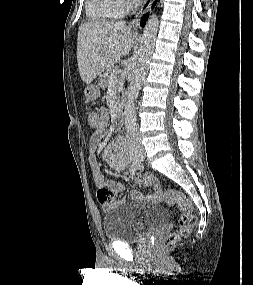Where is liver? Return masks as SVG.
Instances as JSON below:
<instances>
[{"instance_id":"1","label":"liver","mask_w":253,"mask_h":285,"mask_svg":"<svg viewBox=\"0 0 253 285\" xmlns=\"http://www.w3.org/2000/svg\"><path fill=\"white\" fill-rule=\"evenodd\" d=\"M134 33L124 21H92L80 25L77 39V65L80 77L90 83L105 69L129 54Z\"/></svg>"}]
</instances>
